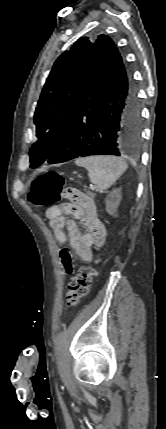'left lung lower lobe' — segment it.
Returning a JSON list of instances; mask_svg holds the SVG:
<instances>
[{"label":"left lung lower lobe","mask_w":166,"mask_h":429,"mask_svg":"<svg viewBox=\"0 0 166 429\" xmlns=\"http://www.w3.org/2000/svg\"><path fill=\"white\" fill-rule=\"evenodd\" d=\"M140 137V104L132 74L114 42L100 35L95 41L89 77L73 115L46 162L134 153Z\"/></svg>","instance_id":"obj_1"}]
</instances>
